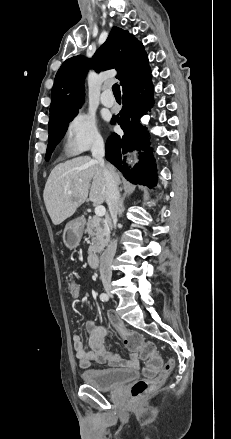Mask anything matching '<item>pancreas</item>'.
<instances>
[{
  "instance_id": "obj_1",
  "label": "pancreas",
  "mask_w": 231,
  "mask_h": 439,
  "mask_svg": "<svg viewBox=\"0 0 231 439\" xmlns=\"http://www.w3.org/2000/svg\"><path fill=\"white\" fill-rule=\"evenodd\" d=\"M85 232L91 237V246L88 254L100 252L109 240V227L98 216L88 218Z\"/></svg>"
}]
</instances>
